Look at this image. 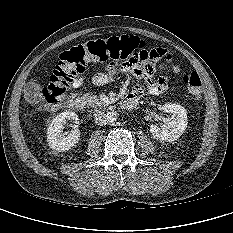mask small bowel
Here are the masks:
<instances>
[{
  "instance_id": "1",
  "label": "small bowel",
  "mask_w": 233,
  "mask_h": 233,
  "mask_svg": "<svg viewBox=\"0 0 233 233\" xmlns=\"http://www.w3.org/2000/svg\"><path fill=\"white\" fill-rule=\"evenodd\" d=\"M167 57L170 58V55L162 48L142 47L124 55L119 62L94 75L92 82L96 86H103L115 78L125 79L129 74H132L142 84L148 85L150 94L159 95L167 89V79L163 76L156 78L153 69H158L161 73L168 72L170 64L166 61ZM83 84L84 78L80 77L75 79L72 86L74 89H80ZM130 94L139 98L142 96L143 90L139 85H136Z\"/></svg>"
}]
</instances>
